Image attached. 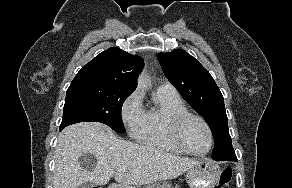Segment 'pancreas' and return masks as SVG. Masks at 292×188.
<instances>
[{"label":"pancreas","mask_w":292,"mask_h":188,"mask_svg":"<svg viewBox=\"0 0 292 188\" xmlns=\"http://www.w3.org/2000/svg\"><path fill=\"white\" fill-rule=\"evenodd\" d=\"M143 188H179L178 186L173 187L170 183L168 182H162V183H154L147 185Z\"/></svg>","instance_id":"pancreas-1"}]
</instances>
